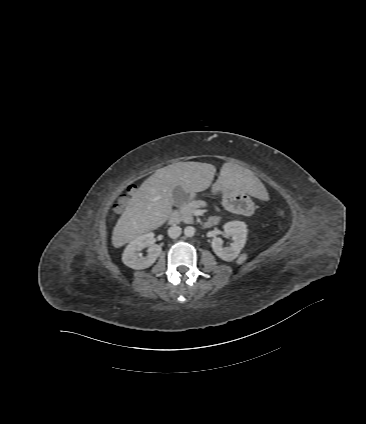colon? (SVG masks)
Masks as SVG:
<instances>
[{
    "label": "colon",
    "instance_id": "5ec220e1",
    "mask_svg": "<svg viewBox=\"0 0 366 424\" xmlns=\"http://www.w3.org/2000/svg\"><path fill=\"white\" fill-rule=\"evenodd\" d=\"M126 202H127V198L126 197H122L120 200H119V203H118V208H122V207H124V205L126 204ZM281 215H283V213H281Z\"/></svg>",
    "mask_w": 366,
    "mask_h": 424
}]
</instances>
